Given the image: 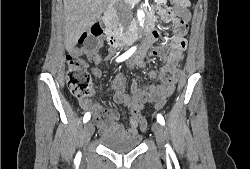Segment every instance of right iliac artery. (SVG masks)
Wrapping results in <instances>:
<instances>
[{
  "instance_id": "1",
  "label": "right iliac artery",
  "mask_w": 250,
  "mask_h": 169,
  "mask_svg": "<svg viewBox=\"0 0 250 169\" xmlns=\"http://www.w3.org/2000/svg\"><path fill=\"white\" fill-rule=\"evenodd\" d=\"M135 51V48H131L129 51L125 52L123 55L119 56L116 61L117 62H122L126 59H128ZM90 113L87 112L85 113L84 115V118H83V122L86 123L88 120H90ZM81 160V152H78L76 157H75V161H80Z\"/></svg>"
}]
</instances>
